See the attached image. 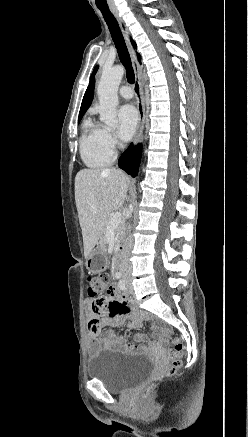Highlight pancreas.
<instances>
[{"label":"pancreas","instance_id":"pancreas-1","mask_svg":"<svg viewBox=\"0 0 248 437\" xmlns=\"http://www.w3.org/2000/svg\"><path fill=\"white\" fill-rule=\"evenodd\" d=\"M108 222H109V221L106 222V224H105V228H104V232H103V234H102V236H101V243H102L103 245L106 244V236H105V235H106V232H107ZM123 229H124L123 224H120V225H118V226L115 228V242H116V244H119L120 241H121V237H122V234H123Z\"/></svg>","mask_w":248,"mask_h":437}]
</instances>
